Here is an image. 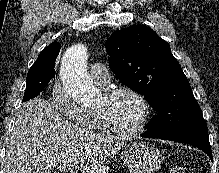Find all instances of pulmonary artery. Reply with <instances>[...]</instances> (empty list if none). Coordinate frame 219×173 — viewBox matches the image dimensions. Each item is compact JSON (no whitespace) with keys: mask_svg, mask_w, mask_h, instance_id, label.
Segmentation results:
<instances>
[{"mask_svg":"<svg viewBox=\"0 0 219 173\" xmlns=\"http://www.w3.org/2000/svg\"><path fill=\"white\" fill-rule=\"evenodd\" d=\"M90 75L93 80L98 83L100 86L108 85L110 81V75L107 67L102 62H95L90 67Z\"/></svg>","mask_w":219,"mask_h":173,"instance_id":"e3ab8cb5","label":"pulmonary artery"}]
</instances>
